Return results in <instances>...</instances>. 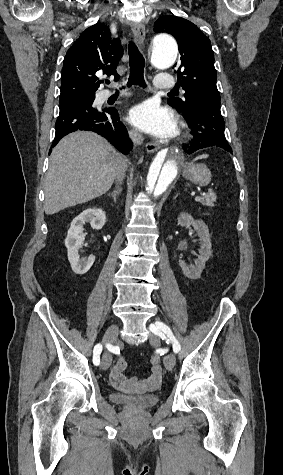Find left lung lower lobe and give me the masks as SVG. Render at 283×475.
Wrapping results in <instances>:
<instances>
[{
  "label": "left lung lower lobe",
  "instance_id": "0a47b994",
  "mask_svg": "<svg viewBox=\"0 0 283 475\" xmlns=\"http://www.w3.org/2000/svg\"><path fill=\"white\" fill-rule=\"evenodd\" d=\"M220 104L218 99H201L195 103L190 113L184 115L194 136L190 144L183 146V150L187 154L210 146L232 152L224 135L225 123L221 115Z\"/></svg>",
  "mask_w": 283,
  "mask_h": 475
}]
</instances>
